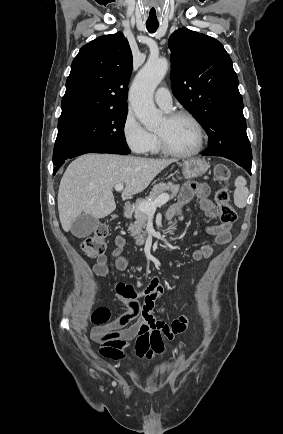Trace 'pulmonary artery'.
<instances>
[{"mask_svg": "<svg viewBox=\"0 0 283 434\" xmlns=\"http://www.w3.org/2000/svg\"><path fill=\"white\" fill-rule=\"evenodd\" d=\"M155 102L158 106L168 111L172 108V96L166 87L157 89L154 95Z\"/></svg>", "mask_w": 283, "mask_h": 434, "instance_id": "pulmonary-artery-1", "label": "pulmonary artery"}]
</instances>
